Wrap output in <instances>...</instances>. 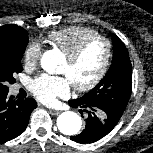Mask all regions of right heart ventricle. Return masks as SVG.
<instances>
[{
	"label": "right heart ventricle",
	"mask_w": 153,
	"mask_h": 153,
	"mask_svg": "<svg viewBox=\"0 0 153 153\" xmlns=\"http://www.w3.org/2000/svg\"><path fill=\"white\" fill-rule=\"evenodd\" d=\"M98 34L95 29L90 27L70 26L50 32L48 41L67 55L83 40Z\"/></svg>",
	"instance_id": "e07e8e85"
}]
</instances>
